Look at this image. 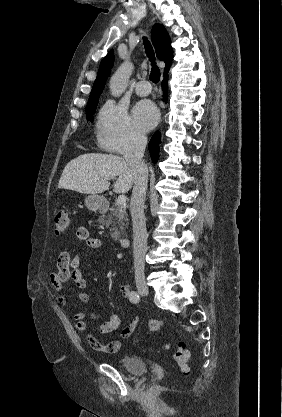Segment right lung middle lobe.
Wrapping results in <instances>:
<instances>
[{"mask_svg":"<svg viewBox=\"0 0 282 417\" xmlns=\"http://www.w3.org/2000/svg\"><path fill=\"white\" fill-rule=\"evenodd\" d=\"M98 98H99V95L91 96L86 106V116L90 121L93 120L92 114L95 113V110L98 104Z\"/></svg>","mask_w":282,"mask_h":417,"instance_id":"right-lung-middle-lobe-1","label":"right lung middle lobe"}]
</instances>
